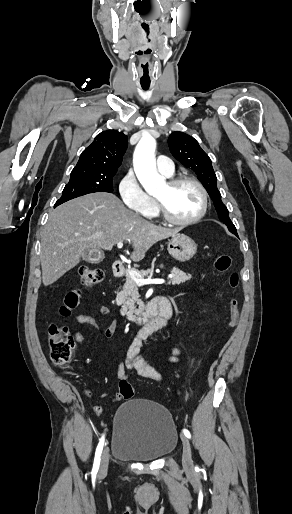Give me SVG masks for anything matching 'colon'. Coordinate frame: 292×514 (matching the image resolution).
<instances>
[{"instance_id":"obj_1","label":"colon","mask_w":292,"mask_h":514,"mask_svg":"<svg viewBox=\"0 0 292 514\" xmlns=\"http://www.w3.org/2000/svg\"><path fill=\"white\" fill-rule=\"evenodd\" d=\"M215 266L219 272L228 274L229 288L233 292L230 299V314L228 317L227 325L229 328L235 327L239 317V302L235 296L240 284V277L236 271L231 269V258L228 254H219L215 259ZM81 281L86 286L98 285L104 277V272L101 269L93 267H81L79 270ZM81 293L78 290L70 291L66 294L64 302L61 306L63 313L70 312L78 303ZM49 344H50V359L52 363L61 368L66 366L72 359L74 339L68 334L67 330L59 325H51L49 328ZM118 392L123 395V399H129L134 395L135 387L133 384H120ZM95 413L101 412V407L95 408Z\"/></svg>"}]
</instances>
